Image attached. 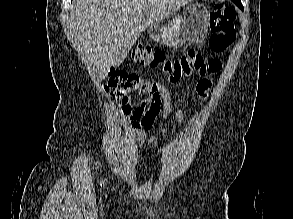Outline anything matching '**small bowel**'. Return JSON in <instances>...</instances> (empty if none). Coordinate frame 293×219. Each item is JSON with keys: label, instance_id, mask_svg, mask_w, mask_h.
Here are the masks:
<instances>
[{"label": "small bowel", "instance_id": "c3829d8e", "mask_svg": "<svg viewBox=\"0 0 293 219\" xmlns=\"http://www.w3.org/2000/svg\"><path fill=\"white\" fill-rule=\"evenodd\" d=\"M211 85V82L204 88L199 89L197 85V92L200 96L205 97L206 93ZM140 94H146L147 97L136 107L126 105L124 112L128 116L130 121V127L136 130L139 134L143 131H149L154 129L158 124L167 119L171 112V107L175 100L171 92L162 86L161 83L156 81H143L140 89ZM162 107V114L160 120L156 121V114ZM177 122L182 119V111L176 112ZM171 129H163V135H168ZM158 137H152L147 141L145 145L149 146L154 142L160 141ZM144 144V142H142Z\"/></svg>", "mask_w": 293, "mask_h": 219}]
</instances>
